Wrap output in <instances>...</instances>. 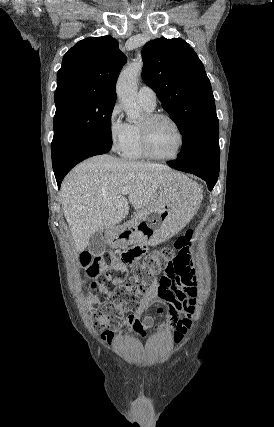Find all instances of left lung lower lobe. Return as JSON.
Returning <instances> with one entry per match:
<instances>
[{
	"mask_svg": "<svg viewBox=\"0 0 274 427\" xmlns=\"http://www.w3.org/2000/svg\"><path fill=\"white\" fill-rule=\"evenodd\" d=\"M168 165L177 170L192 173L202 178L207 182L208 188L210 190H212L215 186L219 175V163H212L208 161L186 162L176 160L168 162Z\"/></svg>",
	"mask_w": 274,
	"mask_h": 427,
	"instance_id": "0a47b994",
	"label": "left lung lower lobe"
}]
</instances>
